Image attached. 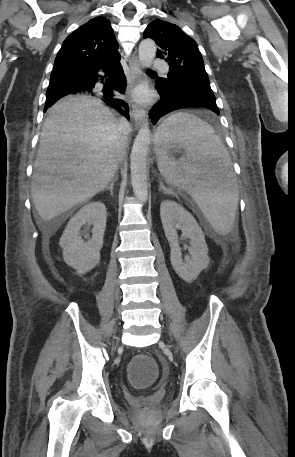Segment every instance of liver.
Listing matches in <instances>:
<instances>
[{
  "label": "liver",
  "instance_id": "obj_1",
  "mask_svg": "<svg viewBox=\"0 0 295 457\" xmlns=\"http://www.w3.org/2000/svg\"><path fill=\"white\" fill-rule=\"evenodd\" d=\"M122 121L99 99L67 96L44 122L31 183L45 222L86 202L114 178L123 154Z\"/></svg>",
  "mask_w": 295,
  "mask_h": 457
}]
</instances>
